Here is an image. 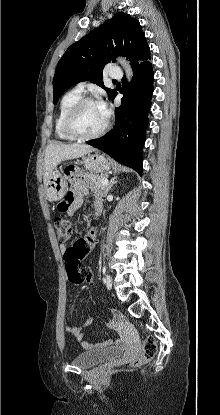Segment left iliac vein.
Instances as JSON below:
<instances>
[{
  "instance_id": "1",
  "label": "left iliac vein",
  "mask_w": 220,
  "mask_h": 415,
  "mask_svg": "<svg viewBox=\"0 0 220 415\" xmlns=\"http://www.w3.org/2000/svg\"><path fill=\"white\" fill-rule=\"evenodd\" d=\"M105 285L108 289H111L112 287V277L108 274L105 277Z\"/></svg>"
}]
</instances>
